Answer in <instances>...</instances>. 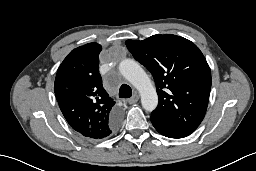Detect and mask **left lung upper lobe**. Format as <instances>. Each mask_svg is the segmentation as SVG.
<instances>
[{"label": "left lung upper lobe", "mask_w": 256, "mask_h": 171, "mask_svg": "<svg viewBox=\"0 0 256 171\" xmlns=\"http://www.w3.org/2000/svg\"><path fill=\"white\" fill-rule=\"evenodd\" d=\"M126 46L155 80L159 104L151 119L190 135L205 116L211 89V71L202 52L171 34L127 40Z\"/></svg>", "instance_id": "left-lung-upper-lobe-1"}]
</instances>
